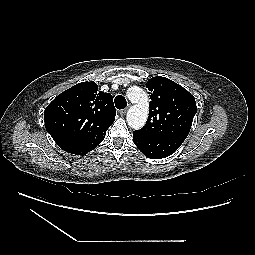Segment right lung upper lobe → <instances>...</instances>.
<instances>
[{
    "instance_id": "1",
    "label": "right lung upper lobe",
    "mask_w": 255,
    "mask_h": 255,
    "mask_svg": "<svg viewBox=\"0 0 255 255\" xmlns=\"http://www.w3.org/2000/svg\"><path fill=\"white\" fill-rule=\"evenodd\" d=\"M110 93L98 91L95 82H81L58 95L45 109L47 132L64 151L85 155L104 138L115 120Z\"/></svg>"
}]
</instances>
